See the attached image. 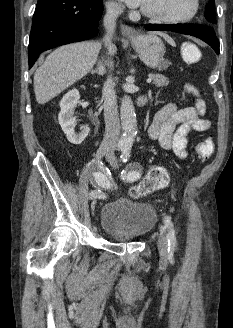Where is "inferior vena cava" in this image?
<instances>
[{"label":"inferior vena cava","instance_id":"602c4592","mask_svg":"<svg viewBox=\"0 0 233 328\" xmlns=\"http://www.w3.org/2000/svg\"><path fill=\"white\" fill-rule=\"evenodd\" d=\"M106 15L104 17V26L106 35L103 39L105 45L108 47L109 53H112V37L116 26V19L122 13L123 8L121 5L115 3H108L106 5ZM107 65L112 67V63L108 62ZM115 83L111 77H108L103 86L104 96V118H105V134L100 149L105 153L113 154L117 146L120 134V121L117 110V96L114 91Z\"/></svg>","mask_w":233,"mask_h":328}]
</instances>
